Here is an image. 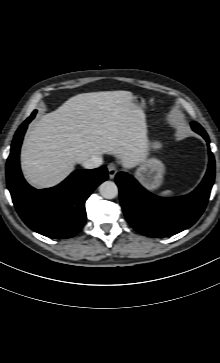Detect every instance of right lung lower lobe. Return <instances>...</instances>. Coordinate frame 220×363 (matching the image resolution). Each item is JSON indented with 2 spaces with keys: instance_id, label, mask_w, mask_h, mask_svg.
<instances>
[{
  "instance_id": "obj_1",
  "label": "right lung lower lobe",
  "mask_w": 220,
  "mask_h": 363,
  "mask_svg": "<svg viewBox=\"0 0 220 363\" xmlns=\"http://www.w3.org/2000/svg\"><path fill=\"white\" fill-rule=\"evenodd\" d=\"M33 118L32 114L14 136L6 165L7 187L18 214L29 228L50 238H71L83 227L85 201L107 180V169L102 166L75 171L61 184L49 189L37 190L28 185L20 170L19 152L27 125Z\"/></svg>"
}]
</instances>
